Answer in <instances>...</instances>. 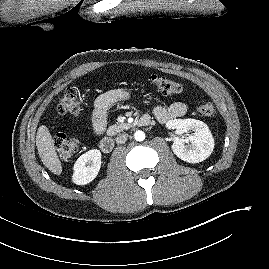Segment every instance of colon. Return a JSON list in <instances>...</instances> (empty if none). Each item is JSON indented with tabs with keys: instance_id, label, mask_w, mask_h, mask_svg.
Masks as SVG:
<instances>
[{
	"instance_id": "colon-1",
	"label": "colon",
	"mask_w": 269,
	"mask_h": 269,
	"mask_svg": "<svg viewBox=\"0 0 269 269\" xmlns=\"http://www.w3.org/2000/svg\"><path fill=\"white\" fill-rule=\"evenodd\" d=\"M150 83L165 95H179L183 93L181 84L158 74L150 76ZM57 110L62 115H78L81 112L79 92L76 87L70 86L66 88L58 100ZM199 112L202 116L210 118L214 116L215 108L211 103H203L199 106ZM54 144L60 158L64 161L73 159L79 147L76 139L65 134H58L55 137Z\"/></svg>"
}]
</instances>
